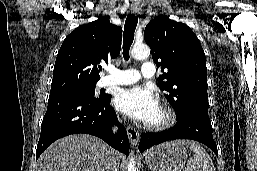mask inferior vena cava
<instances>
[{
	"label": "inferior vena cava",
	"instance_id": "obj_1",
	"mask_svg": "<svg viewBox=\"0 0 257 171\" xmlns=\"http://www.w3.org/2000/svg\"><path fill=\"white\" fill-rule=\"evenodd\" d=\"M113 130L115 132L116 129L114 128ZM104 171H118V165L112 157L108 159V162L105 165Z\"/></svg>",
	"mask_w": 257,
	"mask_h": 171
}]
</instances>
